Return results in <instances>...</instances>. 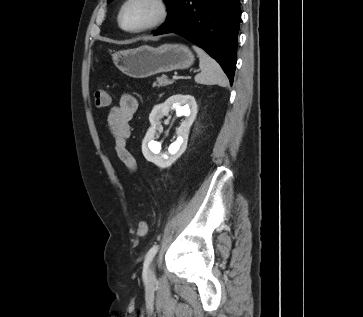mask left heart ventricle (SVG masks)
<instances>
[{"mask_svg":"<svg viewBox=\"0 0 363 317\" xmlns=\"http://www.w3.org/2000/svg\"><path fill=\"white\" fill-rule=\"evenodd\" d=\"M156 14V7L148 0H135L129 4L122 18L126 28H137L149 22Z\"/></svg>","mask_w":363,"mask_h":317,"instance_id":"b2bd125f","label":"left heart ventricle"}]
</instances>
